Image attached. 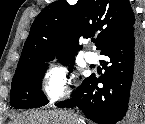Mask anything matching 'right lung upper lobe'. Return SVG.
<instances>
[{
    "mask_svg": "<svg viewBox=\"0 0 145 124\" xmlns=\"http://www.w3.org/2000/svg\"><path fill=\"white\" fill-rule=\"evenodd\" d=\"M134 25L128 0H83L75 5L66 0L53 2L33 22L15 75L43 60L74 57L82 48V38L97 34L96 46L101 50Z\"/></svg>",
    "mask_w": 145,
    "mask_h": 124,
    "instance_id": "1",
    "label": "right lung upper lobe"
}]
</instances>
